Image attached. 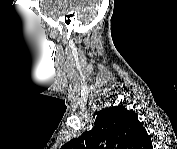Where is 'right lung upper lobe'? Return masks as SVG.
I'll return each instance as SVG.
<instances>
[{
    "label": "right lung upper lobe",
    "mask_w": 177,
    "mask_h": 149,
    "mask_svg": "<svg viewBox=\"0 0 177 149\" xmlns=\"http://www.w3.org/2000/svg\"><path fill=\"white\" fill-rule=\"evenodd\" d=\"M150 137L137 114L123 105L102 109L91 131L66 143L63 149H149Z\"/></svg>",
    "instance_id": "right-lung-upper-lobe-1"
}]
</instances>
